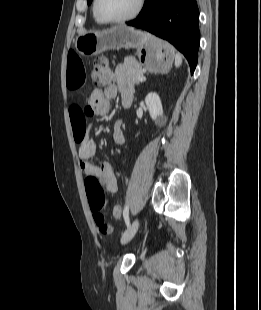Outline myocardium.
<instances>
[{
  "mask_svg": "<svg viewBox=\"0 0 261 310\" xmlns=\"http://www.w3.org/2000/svg\"><path fill=\"white\" fill-rule=\"evenodd\" d=\"M98 3L99 0H93V12L95 14V16L102 22L105 24H119V23H125L128 21H131L133 19H135L141 12L143 5H144V0H137L136 1V6L133 9V11L121 18H115V19H110V18H106L103 15H101V13L99 12L98 9Z\"/></svg>",
  "mask_w": 261,
  "mask_h": 310,
  "instance_id": "1",
  "label": "myocardium"
}]
</instances>
